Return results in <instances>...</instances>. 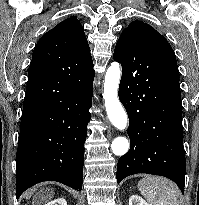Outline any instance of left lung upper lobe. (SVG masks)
I'll use <instances>...</instances> for the list:
<instances>
[{"label":"left lung upper lobe","instance_id":"obj_1","mask_svg":"<svg viewBox=\"0 0 199 205\" xmlns=\"http://www.w3.org/2000/svg\"><path fill=\"white\" fill-rule=\"evenodd\" d=\"M121 35L129 36L137 43L155 51L179 78L177 61L172 47L152 26L135 20L123 30Z\"/></svg>","mask_w":199,"mask_h":205}]
</instances>
